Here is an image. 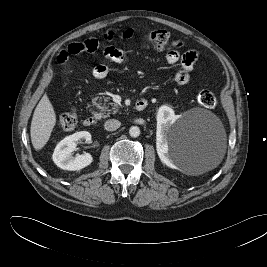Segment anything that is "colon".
<instances>
[{"label": "colon", "mask_w": 267, "mask_h": 267, "mask_svg": "<svg viewBox=\"0 0 267 267\" xmlns=\"http://www.w3.org/2000/svg\"><path fill=\"white\" fill-rule=\"evenodd\" d=\"M121 39L127 40L133 37L132 31H125L119 36ZM142 40L150 43L156 49H168L175 52L182 47L180 40H173L170 34L165 30L152 31L142 37ZM196 101L204 108H214L217 105L216 96L208 90L200 91L196 96ZM78 122L77 114L74 110L68 111L59 117L58 124L65 131L73 130Z\"/></svg>", "instance_id": "obj_1"}]
</instances>
